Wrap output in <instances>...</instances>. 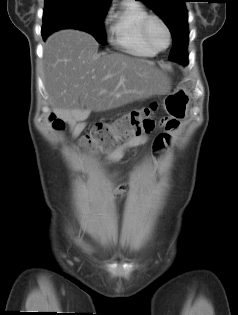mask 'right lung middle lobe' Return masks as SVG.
<instances>
[{
    "instance_id": "right-lung-middle-lobe-1",
    "label": "right lung middle lobe",
    "mask_w": 238,
    "mask_h": 315,
    "mask_svg": "<svg viewBox=\"0 0 238 315\" xmlns=\"http://www.w3.org/2000/svg\"><path fill=\"white\" fill-rule=\"evenodd\" d=\"M108 7L93 0H45L42 37L45 40L57 30L74 28L90 33L104 44L103 18Z\"/></svg>"
}]
</instances>
